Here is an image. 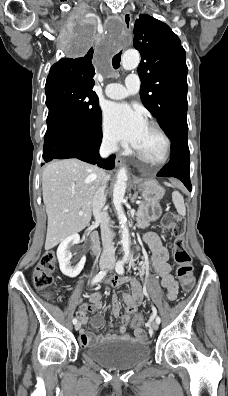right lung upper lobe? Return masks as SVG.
<instances>
[{
	"instance_id": "obj_1",
	"label": "right lung upper lobe",
	"mask_w": 228,
	"mask_h": 396,
	"mask_svg": "<svg viewBox=\"0 0 228 396\" xmlns=\"http://www.w3.org/2000/svg\"><path fill=\"white\" fill-rule=\"evenodd\" d=\"M93 49L78 58H63L55 63L48 74L47 80L68 79L93 88L94 66L92 65Z\"/></svg>"
}]
</instances>
